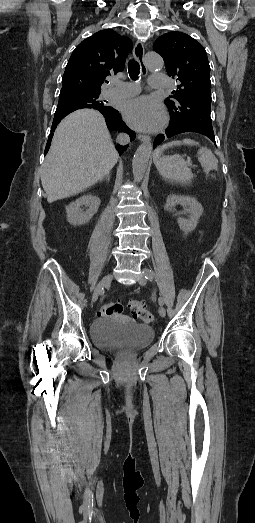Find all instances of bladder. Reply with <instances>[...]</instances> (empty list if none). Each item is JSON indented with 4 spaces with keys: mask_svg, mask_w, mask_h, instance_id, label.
Here are the masks:
<instances>
[{
    "mask_svg": "<svg viewBox=\"0 0 255 523\" xmlns=\"http://www.w3.org/2000/svg\"><path fill=\"white\" fill-rule=\"evenodd\" d=\"M153 338L152 327L146 324L123 322L105 317L95 320L91 325V339L100 348L128 347L139 350L149 345Z\"/></svg>",
    "mask_w": 255,
    "mask_h": 523,
    "instance_id": "obj_1",
    "label": "bladder"
}]
</instances>
